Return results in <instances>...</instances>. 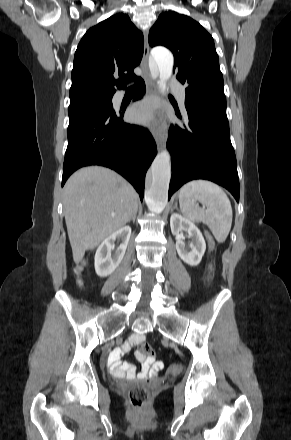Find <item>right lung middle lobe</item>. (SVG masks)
<instances>
[{"mask_svg": "<svg viewBox=\"0 0 291 440\" xmlns=\"http://www.w3.org/2000/svg\"><path fill=\"white\" fill-rule=\"evenodd\" d=\"M76 102H96V103H102L107 107H113L112 105V96H104V97H97V96H90L85 97L76 101H71L70 104L76 103Z\"/></svg>", "mask_w": 291, "mask_h": 440, "instance_id": "1", "label": "right lung middle lobe"}]
</instances>
